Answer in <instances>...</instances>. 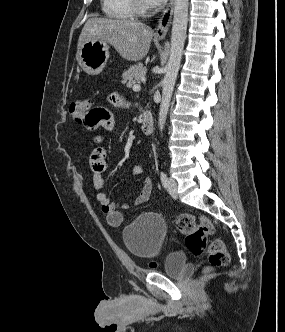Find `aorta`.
I'll return each instance as SVG.
<instances>
[{"instance_id": "aorta-1", "label": "aorta", "mask_w": 285, "mask_h": 332, "mask_svg": "<svg viewBox=\"0 0 285 332\" xmlns=\"http://www.w3.org/2000/svg\"><path fill=\"white\" fill-rule=\"evenodd\" d=\"M188 5L189 0H175L170 55L162 81V100L159 110V128L161 130L166 121L183 54L188 22Z\"/></svg>"}]
</instances>
